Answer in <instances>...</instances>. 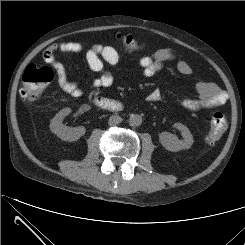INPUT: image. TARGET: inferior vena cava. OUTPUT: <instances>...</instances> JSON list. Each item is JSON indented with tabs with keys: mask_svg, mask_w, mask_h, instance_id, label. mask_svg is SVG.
<instances>
[{
	"mask_svg": "<svg viewBox=\"0 0 245 245\" xmlns=\"http://www.w3.org/2000/svg\"><path fill=\"white\" fill-rule=\"evenodd\" d=\"M121 122H122V118L120 116H118V115H112L109 118L108 124L110 126H116V125H118Z\"/></svg>",
	"mask_w": 245,
	"mask_h": 245,
	"instance_id": "602c4592",
	"label": "inferior vena cava"
}]
</instances>
